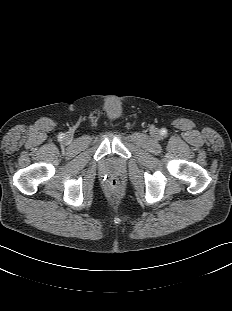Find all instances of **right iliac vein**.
Instances as JSON below:
<instances>
[{
  "mask_svg": "<svg viewBox=\"0 0 232 311\" xmlns=\"http://www.w3.org/2000/svg\"><path fill=\"white\" fill-rule=\"evenodd\" d=\"M64 140H65L66 142H69V141L71 140V136H70V135H66L65 138H64Z\"/></svg>",
  "mask_w": 232,
  "mask_h": 311,
  "instance_id": "63e3f726",
  "label": "right iliac vein"
}]
</instances>
